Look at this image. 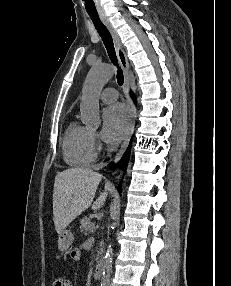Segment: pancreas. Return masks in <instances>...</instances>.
<instances>
[{
    "mask_svg": "<svg viewBox=\"0 0 231 286\" xmlns=\"http://www.w3.org/2000/svg\"><path fill=\"white\" fill-rule=\"evenodd\" d=\"M91 225H92V222H91V219L90 217H84L81 221H80V230L83 234H87L88 231H91ZM102 245V242L101 244ZM100 252H98V256H99Z\"/></svg>",
    "mask_w": 231,
    "mask_h": 286,
    "instance_id": "cf45deb5",
    "label": "pancreas"
}]
</instances>
